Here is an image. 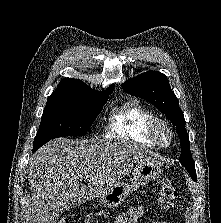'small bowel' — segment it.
Segmentation results:
<instances>
[{
    "label": "small bowel",
    "instance_id": "1",
    "mask_svg": "<svg viewBox=\"0 0 221 223\" xmlns=\"http://www.w3.org/2000/svg\"><path fill=\"white\" fill-rule=\"evenodd\" d=\"M144 209L141 205L132 210L121 214L116 223H138L139 218L143 215ZM152 223H166L165 221H153Z\"/></svg>",
    "mask_w": 221,
    "mask_h": 223
}]
</instances>
